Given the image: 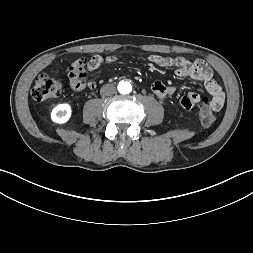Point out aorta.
Listing matches in <instances>:
<instances>
[{"label": "aorta", "mask_w": 253, "mask_h": 253, "mask_svg": "<svg viewBox=\"0 0 253 253\" xmlns=\"http://www.w3.org/2000/svg\"><path fill=\"white\" fill-rule=\"evenodd\" d=\"M118 91L121 94H129L132 91V86L129 82L127 81H121L118 84Z\"/></svg>", "instance_id": "762f6f07"}]
</instances>
